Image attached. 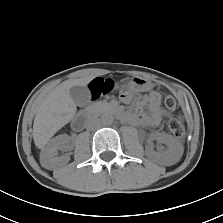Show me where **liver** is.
I'll return each mask as SVG.
<instances>
[{
  "label": "liver",
  "mask_w": 223,
  "mask_h": 223,
  "mask_svg": "<svg viewBox=\"0 0 223 223\" xmlns=\"http://www.w3.org/2000/svg\"><path fill=\"white\" fill-rule=\"evenodd\" d=\"M94 76L66 80L57 86L41 103L33 123V139L43 149L62 127L73 119L77 107L70 96L73 86H86Z\"/></svg>",
  "instance_id": "1"
}]
</instances>
